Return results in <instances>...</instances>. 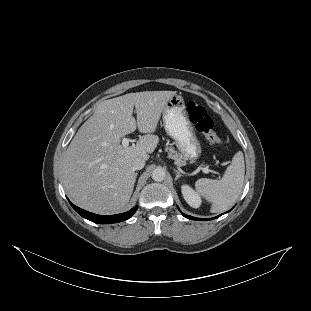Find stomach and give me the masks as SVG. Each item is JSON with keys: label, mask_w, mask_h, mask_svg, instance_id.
I'll use <instances>...</instances> for the list:
<instances>
[{"label": "stomach", "mask_w": 311, "mask_h": 311, "mask_svg": "<svg viewBox=\"0 0 311 311\" xmlns=\"http://www.w3.org/2000/svg\"><path fill=\"white\" fill-rule=\"evenodd\" d=\"M162 121L180 157L190 163L198 161L202 156L203 146L187 114L182 96L175 95L168 101Z\"/></svg>", "instance_id": "0dacf381"}]
</instances>
